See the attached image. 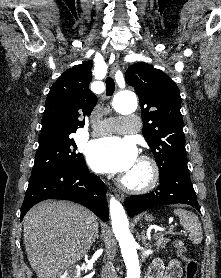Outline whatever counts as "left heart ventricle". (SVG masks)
Here are the masks:
<instances>
[{"instance_id": "1", "label": "left heart ventricle", "mask_w": 221, "mask_h": 278, "mask_svg": "<svg viewBox=\"0 0 221 278\" xmlns=\"http://www.w3.org/2000/svg\"><path fill=\"white\" fill-rule=\"evenodd\" d=\"M149 176L147 166L140 162L139 160L133 165V167L124 174V178L132 184H142L144 183Z\"/></svg>"}]
</instances>
